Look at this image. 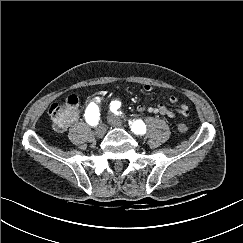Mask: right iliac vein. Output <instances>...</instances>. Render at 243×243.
Instances as JSON below:
<instances>
[{"label":"right iliac vein","mask_w":243,"mask_h":243,"mask_svg":"<svg viewBox=\"0 0 243 243\" xmlns=\"http://www.w3.org/2000/svg\"><path fill=\"white\" fill-rule=\"evenodd\" d=\"M106 133V125L104 123H100L95 129V135L98 138H102Z\"/></svg>","instance_id":"obj_1"}]
</instances>
